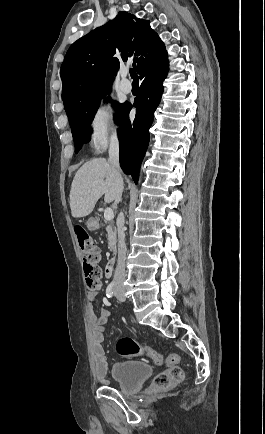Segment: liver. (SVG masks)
Wrapping results in <instances>:
<instances>
[{
  "instance_id": "6515ba94",
  "label": "liver",
  "mask_w": 265,
  "mask_h": 434,
  "mask_svg": "<svg viewBox=\"0 0 265 434\" xmlns=\"http://www.w3.org/2000/svg\"><path fill=\"white\" fill-rule=\"evenodd\" d=\"M123 180L117 168L105 158H95L76 172L70 192L73 218H85L93 212L96 202L105 194L104 202H121Z\"/></svg>"
}]
</instances>
